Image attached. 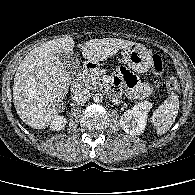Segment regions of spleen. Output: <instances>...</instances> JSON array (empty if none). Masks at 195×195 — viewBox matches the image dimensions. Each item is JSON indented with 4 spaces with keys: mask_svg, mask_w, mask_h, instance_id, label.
Returning <instances> with one entry per match:
<instances>
[{
    "mask_svg": "<svg viewBox=\"0 0 195 195\" xmlns=\"http://www.w3.org/2000/svg\"><path fill=\"white\" fill-rule=\"evenodd\" d=\"M179 110L178 95L171 92L167 99L153 112L151 122L159 135L165 134L175 122Z\"/></svg>",
    "mask_w": 195,
    "mask_h": 195,
    "instance_id": "spleen-1",
    "label": "spleen"
}]
</instances>
